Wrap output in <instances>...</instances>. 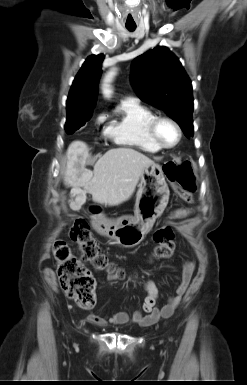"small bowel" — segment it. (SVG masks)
I'll use <instances>...</instances> for the list:
<instances>
[{
  "label": "small bowel",
  "instance_id": "1",
  "mask_svg": "<svg viewBox=\"0 0 247 385\" xmlns=\"http://www.w3.org/2000/svg\"><path fill=\"white\" fill-rule=\"evenodd\" d=\"M181 217L189 216L193 213L192 209H181ZM195 271V261L185 260L181 267L180 283L176 288L175 294L171 296L163 307H157L158 289L152 280H147L144 284V288L147 291V295L142 304L141 310H136L132 314L126 311H118L111 316L89 314L87 320L97 325H106L108 323L116 325H124L127 323H134L137 325H150L156 322L160 318H168L172 316L174 311L179 306L183 295L185 294L191 278ZM117 276L113 273H109L108 279L115 280Z\"/></svg>",
  "mask_w": 247,
  "mask_h": 385
}]
</instances>
